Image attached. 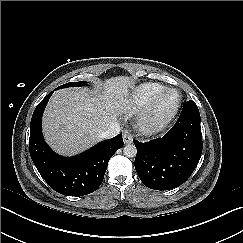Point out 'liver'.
Returning a JSON list of instances; mask_svg holds the SVG:
<instances>
[{"label": "liver", "mask_w": 243, "mask_h": 243, "mask_svg": "<svg viewBox=\"0 0 243 243\" xmlns=\"http://www.w3.org/2000/svg\"><path fill=\"white\" fill-rule=\"evenodd\" d=\"M132 85L130 77L117 76L100 82L95 91L66 88L54 92L42 120L48 144L57 153L72 156L98 143L99 134L117 122Z\"/></svg>", "instance_id": "6515ba94"}]
</instances>
